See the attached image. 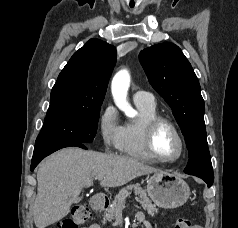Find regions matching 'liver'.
I'll use <instances>...</instances> for the list:
<instances>
[{
	"instance_id": "6515ba94",
	"label": "liver",
	"mask_w": 238,
	"mask_h": 228,
	"mask_svg": "<svg viewBox=\"0 0 238 228\" xmlns=\"http://www.w3.org/2000/svg\"><path fill=\"white\" fill-rule=\"evenodd\" d=\"M161 172L130 157L66 148L46 158L37 171L34 223L45 228L63 219L84 187L102 177L101 186L118 187L136 177Z\"/></svg>"
}]
</instances>
